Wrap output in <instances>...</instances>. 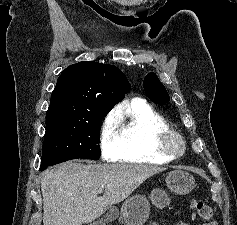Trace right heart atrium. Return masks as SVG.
<instances>
[{"label":"right heart atrium","mask_w":237,"mask_h":225,"mask_svg":"<svg viewBox=\"0 0 237 225\" xmlns=\"http://www.w3.org/2000/svg\"><path fill=\"white\" fill-rule=\"evenodd\" d=\"M101 156L106 161H115L120 149L118 120L114 114L106 115L99 129Z\"/></svg>","instance_id":"d8ad5b80"}]
</instances>
